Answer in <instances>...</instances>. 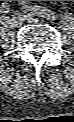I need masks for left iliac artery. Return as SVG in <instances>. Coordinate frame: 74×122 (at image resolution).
I'll list each match as a JSON object with an SVG mask.
<instances>
[{
    "label": "left iliac artery",
    "instance_id": "left-iliac-artery-1",
    "mask_svg": "<svg viewBox=\"0 0 74 122\" xmlns=\"http://www.w3.org/2000/svg\"><path fill=\"white\" fill-rule=\"evenodd\" d=\"M23 12L30 15L41 16L52 22L56 21L57 19L56 14L53 11L41 6H25L23 7Z\"/></svg>",
    "mask_w": 74,
    "mask_h": 122
}]
</instances>
